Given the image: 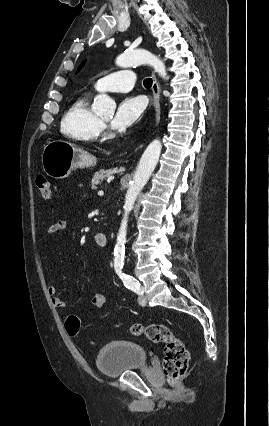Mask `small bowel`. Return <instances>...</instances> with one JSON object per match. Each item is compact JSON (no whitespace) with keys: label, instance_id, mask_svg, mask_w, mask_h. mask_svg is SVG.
Wrapping results in <instances>:
<instances>
[{"label":"small bowel","instance_id":"obj_1","mask_svg":"<svg viewBox=\"0 0 269 426\" xmlns=\"http://www.w3.org/2000/svg\"><path fill=\"white\" fill-rule=\"evenodd\" d=\"M67 228V223L63 220L55 221L47 230L49 236L63 232ZM47 292L51 297L53 306L59 310L63 311L67 308V303L63 300L58 294L56 287L50 285L47 288ZM107 304V297L103 294H95L92 298V305L96 309H102Z\"/></svg>","mask_w":269,"mask_h":426}]
</instances>
